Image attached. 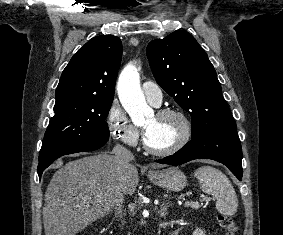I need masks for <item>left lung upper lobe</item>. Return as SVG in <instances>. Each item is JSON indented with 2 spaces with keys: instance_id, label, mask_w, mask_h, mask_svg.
Listing matches in <instances>:
<instances>
[{
  "instance_id": "1",
  "label": "left lung upper lobe",
  "mask_w": 283,
  "mask_h": 235,
  "mask_svg": "<svg viewBox=\"0 0 283 235\" xmlns=\"http://www.w3.org/2000/svg\"><path fill=\"white\" fill-rule=\"evenodd\" d=\"M147 57L157 83L192 118V139L237 129L206 52L188 32L151 41Z\"/></svg>"
}]
</instances>
